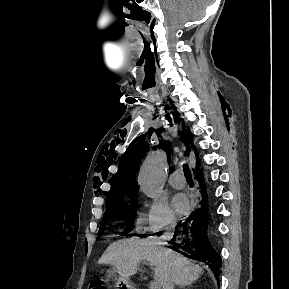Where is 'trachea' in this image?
Segmentation results:
<instances>
[{
  "mask_svg": "<svg viewBox=\"0 0 289 289\" xmlns=\"http://www.w3.org/2000/svg\"><path fill=\"white\" fill-rule=\"evenodd\" d=\"M183 172L188 181H192L191 171L187 164H183Z\"/></svg>",
  "mask_w": 289,
  "mask_h": 289,
  "instance_id": "1",
  "label": "trachea"
}]
</instances>
